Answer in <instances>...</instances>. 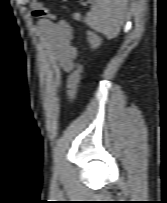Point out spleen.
Returning a JSON list of instances; mask_svg holds the SVG:
<instances>
[{"label":"spleen","mask_w":167,"mask_h":203,"mask_svg":"<svg viewBox=\"0 0 167 203\" xmlns=\"http://www.w3.org/2000/svg\"><path fill=\"white\" fill-rule=\"evenodd\" d=\"M126 3L127 0H93L91 10L86 14L83 22L108 39H112L118 35L123 24ZM74 18L81 20L79 14H75Z\"/></svg>","instance_id":"obj_1"}]
</instances>
